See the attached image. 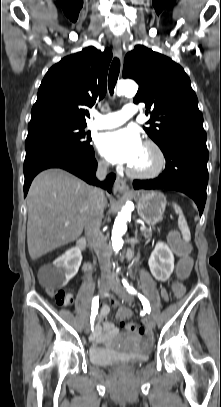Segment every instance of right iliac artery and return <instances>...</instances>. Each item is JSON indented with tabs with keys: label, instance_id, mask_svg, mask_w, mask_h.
Listing matches in <instances>:
<instances>
[{
	"label": "right iliac artery",
	"instance_id": "82829eb1",
	"mask_svg": "<svg viewBox=\"0 0 221 407\" xmlns=\"http://www.w3.org/2000/svg\"><path fill=\"white\" fill-rule=\"evenodd\" d=\"M99 297L95 296L92 300V309H91V317H90V324H91V329L93 330L94 322L96 315L98 313V307H99Z\"/></svg>",
	"mask_w": 221,
	"mask_h": 407
}]
</instances>
